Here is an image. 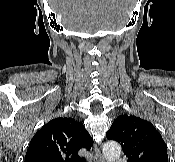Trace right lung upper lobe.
<instances>
[{
    "label": "right lung upper lobe",
    "instance_id": "1",
    "mask_svg": "<svg viewBox=\"0 0 175 162\" xmlns=\"http://www.w3.org/2000/svg\"><path fill=\"white\" fill-rule=\"evenodd\" d=\"M92 145L93 140L81 122L59 117L36 132L24 162H85L78 151L89 150Z\"/></svg>",
    "mask_w": 175,
    "mask_h": 162
}]
</instances>
